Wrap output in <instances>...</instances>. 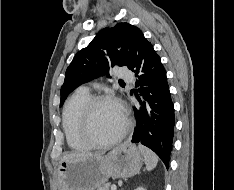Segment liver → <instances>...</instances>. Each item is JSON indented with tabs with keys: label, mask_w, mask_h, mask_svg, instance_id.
I'll return each instance as SVG.
<instances>
[{
	"label": "liver",
	"mask_w": 234,
	"mask_h": 190,
	"mask_svg": "<svg viewBox=\"0 0 234 190\" xmlns=\"http://www.w3.org/2000/svg\"><path fill=\"white\" fill-rule=\"evenodd\" d=\"M83 156H99L98 154H91V153H71L68 155H65L61 161H64L69 158H76V157H83Z\"/></svg>",
	"instance_id": "obj_1"
}]
</instances>
